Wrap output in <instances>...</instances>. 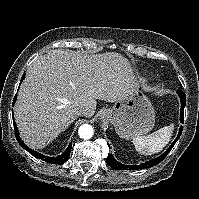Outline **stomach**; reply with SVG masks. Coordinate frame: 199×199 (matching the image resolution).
<instances>
[{"mask_svg": "<svg viewBox=\"0 0 199 199\" xmlns=\"http://www.w3.org/2000/svg\"><path fill=\"white\" fill-rule=\"evenodd\" d=\"M103 121L114 125L123 139H134L147 134L155 123L153 106L143 90L120 97L113 107L102 112Z\"/></svg>", "mask_w": 199, "mask_h": 199, "instance_id": "stomach-1", "label": "stomach"}]
</instances>
